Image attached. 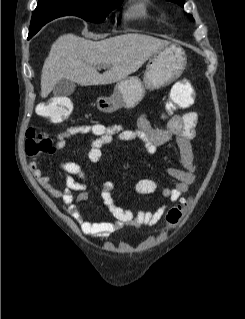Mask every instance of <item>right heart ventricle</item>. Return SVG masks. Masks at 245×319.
Segmentation results:
<instances>
[{
	"label": "right heart ventricle",
	"mask_w": 245,
	"mask_h": 319,
	"mask_svg": "<svg viewBox=\"0 0 245 319\" xmlns=\"http://www.w3.org/2000/svg\"><path fill=\"white\" fill-rule=\"evenodd\" d=\"M148 15V2L147 0H138L127 11L128 17H145Z\"/></svg>",
	"instance_id": "1"
}]
</instances>
